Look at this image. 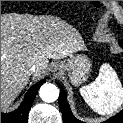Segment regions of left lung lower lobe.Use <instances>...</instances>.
Instances as JSON below:
<instances>
[{
  "instance_id": "1",
  "label": "left lung lower lobe",
  "mask_w": 123,
  "mask_h": 123,
  "mask_svg": "<svg viewBox=\"0 0 123 123\" xmlns=\"http://www.w3.org/2000/svg\"><path fill=\"white\" fill-rule=\"evenodd\" d=\"M119 45L123 48L122 41H119ZM59 87H60L59 107L62 112L63 122L64 123H84L79 121L73 116L70 106L68 105V102L66 99V92L60 85ZM103 123H123V110Z\"/></svg>"
}]
</instances>
